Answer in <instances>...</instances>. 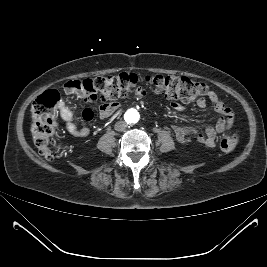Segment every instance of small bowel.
Listing matches in <instances>:
<instances>
[{
    "mask_svg": "<svg viewBox=\"0 0 267 267\" xmlns=\"http://www.w3.org/2000/svg\"><path fill=\"white\" fill-rule=\"evenodd\" d=\"M78 80H71L65 83L64 92L67 95H77L78 97L84 99L85 101L90 100V96L86 90L82 87L74 85V82ZM208 101L212 104L213 109L221 114L217 124L215 126H208L205 132L202 133L194 126L173 124L172 130L176 140L180 143H188L193 137L196 140L208 147H214L216 144V139L218 134L223 133L233 124V111L232 109L223 103L217 95L210 91L207 98L201 97L197 100V106L200 108H205ZM172 107L177 111H183L184 106L180 103L172 102ZM118 109L117 103H104L100 105L99 116L102 119H107L111 117ZM58 111L61 119L65 123V128L69 134L74 137L84 138L90 133L88 127H78L74 122V113L71 108H69L63 101L59 103ZM93 111L90 108H85L82 112V117L85 121L89 122L93 119Z\"/></svg>",
    "mask_w": 267,
    "mask_h": 267,
    "instance_id": "1",
    "label": "small bowel"
}]
</instances>
